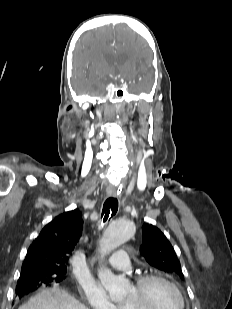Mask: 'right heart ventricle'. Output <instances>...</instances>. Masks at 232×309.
<instances>
[{
    "label": "right heart ventricle",
    "instance_id": "1",
    "mask_svg": "<svg viewBox=\"0 0 232 309\" xmlns=\"http://www.w3.org/2000/svg\"><path fill=\"white\" fill-rule=\"evenodd\" d=\"M118 309H126V307L123 304L117 305Z\"/></svg>",
    "mask_w": 232,
    "mask_h": 309
}]
</instances>
